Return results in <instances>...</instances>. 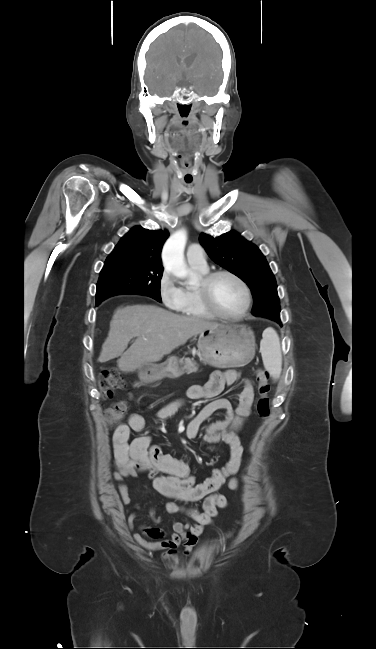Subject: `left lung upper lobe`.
<instances>
[{
  "mask_svg": "<svg viewBox=\"0 0 376 649\" xmlns=\"http://www.w3.org/2000/svg\"><path fill=\"white\" fill-rule=\"evenodd\" d=\"M199 240L215 263L247 283L254 297L252 314L280 323L276 280L261 251L235 231L217 238L201 233Z\"/></svg>",
  "mask_w": 376,
  "mask_h": 649,
  "instance_id": "obj_1",
  "label": "left lung upper lobe"
}]
</instances>
